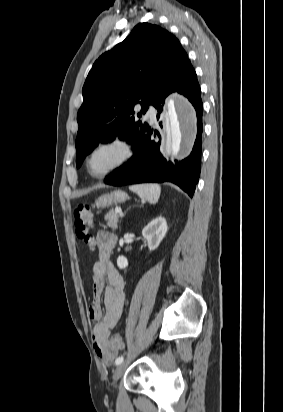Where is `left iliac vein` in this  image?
Masks as SVG:
<instances>
[{
    "label": "left iliac vein",
    "mask_w": 283,
    "mask_h": 412,
    "mask_svg": "<svg viewBox=\"0 0 283 412\" xmlns=\"http://www.w3.org/2000/svg\"><path fill=\"white\" fill-rule=\"evenodd\" d=\"M127 367V363H121L117 366L113 373V383H115L124 373L125 369Z\"/></svg>",
    "instance_id": "obj_1"
}]
</instances>
